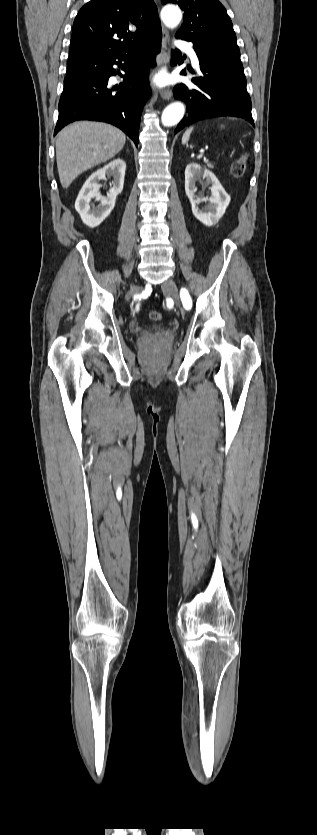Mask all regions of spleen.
Returning <instances> with one entry per match:
<instances>
[{
    "label": "spleen",
    "instance_id": "1",
    "mask_svg": "<svg viewBox=\"0 0 317 835\" xmlns=\"http://www.w3.org/2000/svg\"><path fill=\"white\" fill-rule=\"evenodd\" d=\"M194 127L188 128L182 136V143L187 144L190 139V134L192 133Z\"/></svg>",
    "mask_w": 317,
    "mask_h": 835
}]
</instances>
